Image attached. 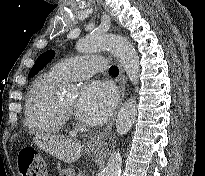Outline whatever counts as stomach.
<instances>
[{
    "instance_id": "0dacf381",
    "label": "stomach",
    "mask_w": 205,
    "mask_h": 176,
    "mask_svg": "<svg viewBox=\"0 0 205 176\" xmlns=\"http://www.w3.org/2000/svg\"><path fill=\"white\" fill-rule=\"evenodd\" d=\"M99 150H100L99 147L89 149V151L92 152V153H96ZM60 175L61 176H74V172H73V170H64V171L61 172Z\"/></svg>"
}]
</instances>
